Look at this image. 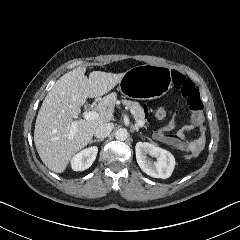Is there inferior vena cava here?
I'll use <instances>...</instances> for the list:
<instances>
[{"label": "inferior vena cava", "instance_id": "inferior-vena-cava-1", "mask_svg": "<svg viewBox=\"0 0 240 240\" xmlns=\"http://www.w3.org/2000/svg\"><path fill=\"white\" fill-rule=\"evenodd\" d=\"M113 127H114L113 123L101 124L95 129L94 135L97 138L104 139L112 132Z\"/></svg>", "mask_w": 240, "mask_h": 240}]
</instances>
